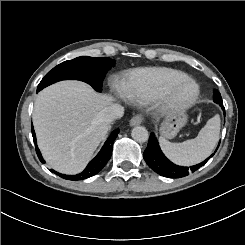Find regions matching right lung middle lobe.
I'll return each instance as SVG.
<instances>
[{"label": "right lung middle lobe", "instance_id": "right-lung-middle-lobe-1", "mask_svg": "<svg viewBox=\"0 0 245 245\" xmlns=\"http://www.w3.org/2000/svg\"><path fill=\"white\" fill-rule=\"evenodd\" d=\"M114 64L115 61L107 57L82 56L65 61L46 74L39 83L37 91L57 81L67 79L84 81L96 91H101L105 74Z\"/></svg>", "mask_w": 245, "mask_h": 245}]
</instances>
